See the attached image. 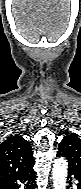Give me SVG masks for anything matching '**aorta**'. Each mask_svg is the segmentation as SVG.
<instances>
[{"instance_id": "obj_1", "label": "aorta", "mask_w": 81, "mask_h": 189, "mask_svg": "<svg viewBox=\"0 0 81 189\" xmlns=\"http://www.w3.org/2000/svg\"><path fill=\"white\" fill-rule=\"evenodd\" d=\"M68 172V163L64 158H58L53 164V187L54 189H66V177Z\"/></svg>"}]
</instances>
